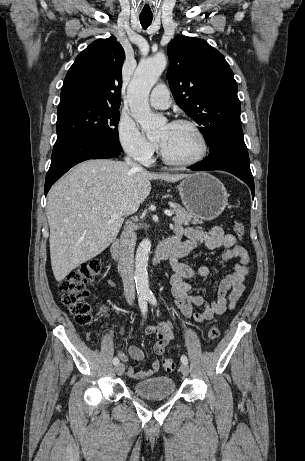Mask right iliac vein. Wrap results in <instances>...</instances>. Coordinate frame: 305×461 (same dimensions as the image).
<instances>
[{
	"mask_svg": "<svg viewBox=\"0 0 305 461\" xmlns=\"http://www.w3.org/2000/svg\"><path fill=\"white\" fill-rule=\"evenodd\" d=\"M124 370H125V366L122 363L116 365L115 367V371L117 375H122L124 373Z\"/></svg>",
	"mask_w": 305,
	"mask_h": 461,
	"instance_id": "obj_1",
	"label": "right iliac vein"
}]
</instances>
